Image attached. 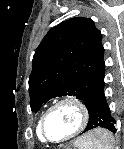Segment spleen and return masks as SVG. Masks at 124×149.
I'll return each mask as SVG.
<instances>
[{"mask_svg":"<svg viewBox=\"0 0 124 149\" xmlns=\"http://www.w3.org/2000/svg\"><path fill=\"white\" fill-rule=\"evenodd\" d=\"M111 137L108 133L102 129L96 137H92L83 142L82 149H113L111 145H109Z\"/></svg>","mask_w":124,"mask_h":149,"instance_id":"obj_1","label":"spleen"}]
</instances>
